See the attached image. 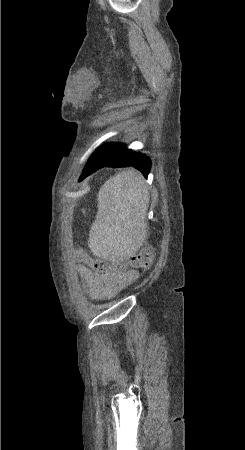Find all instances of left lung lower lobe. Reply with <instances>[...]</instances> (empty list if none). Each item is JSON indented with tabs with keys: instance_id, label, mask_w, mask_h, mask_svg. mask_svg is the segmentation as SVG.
Masks as SVG:
<instances>
[{
	"instance_id": "left-lung-lower-lobe-1",
	"label": "left lung lower lobe",
	"mask_w": 245,
	"mask_h": 450,
	"mask_svg": "<svg viewBox=\"0 0 245 450\" xmlns=\"http://www.w3.org/2000/svg\"><path fill=\"white\" fill-rule=\"evenodd\" d=\"M95 152L96 154L98 153L97 161L92 166L83 171L79 181L83 180L84 178L104 166H133L141 171L146 178L149 174L151 161L143 153L135 152L126 147L101 148L97 149Z\"/></svg>"
}]
</instances>
